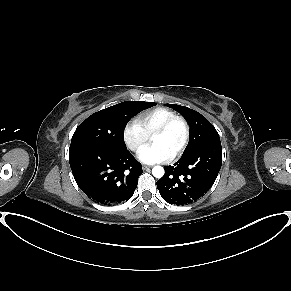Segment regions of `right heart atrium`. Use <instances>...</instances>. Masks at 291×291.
Wrapping results in <instances>:
<instances>
[{"label":"right heart atrium","mask_w":291,"mask_h":291,"mask_svg":"<svg viewBox=\"0 0 291 291\" xmlns=\"http://www.w3.org/2000/svg\"><path fill=\"white\" fill-rule=\"evenodd\" d=\"M122 138L131 151H137L146 143L149 134L136 120H131L123 128Z\"/></svg>","instance_id":"right-heart-atrium-1"}]
</instances>
